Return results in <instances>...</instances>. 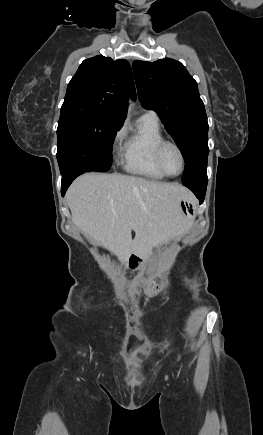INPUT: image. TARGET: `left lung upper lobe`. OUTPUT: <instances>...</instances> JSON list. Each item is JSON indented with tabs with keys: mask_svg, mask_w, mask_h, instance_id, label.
Wrapping results in <instances>:
<instances>
[{
	"mask_svg": "<svg viewBox=\"0 0 263 435\" xmlns=\"http://www.w3.org/2000/svg\"><path fill=\"white\" fill-rule=\"evenodd\" d=\"M139 99L159 115L185 161L182 181L206 173L208 122L196 81L182 63L165 58L132 64Z\"/></svg>",
	"mask_w": 263,
	"mask_h": 435,
	"instance_id": "1",
	"label": "left lung upper lobe"
}]
</instances>
